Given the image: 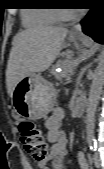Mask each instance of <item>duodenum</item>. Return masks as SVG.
Instances as JSON below:
<instances>
[{
  "mask_svg": "<svg viewBox=\"0 0 104 169\" xmlns=\"http://www.w3.org/2000/svg\"><path fill=\"white\" fill-rule=\"evenodd\" d=\"M86 105H87V102L85 99L83 98H79L76 103H75V115L77 117H81L84 112H85V109H86Z\"/></svg>",
  "mask_w": 104,
  "mask_h": 169,
  "instance_id": "duodenum-1",
  "label": "duodenum"
}]
</instances>
